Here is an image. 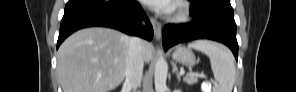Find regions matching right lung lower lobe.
<instances>
[{
	"instance_id": "obj_1",
	"label": "right lung lower lobe",
	"mask_w": 296,
	"mask_h": 92,
	"mask_svg": "<svg viewBox=\"0 0 296 92\" xmlns=\"http://www.w3.org/2000/svg\"><path fill=\"white\" fill-rule=\"evenodd\" d=\"M146 19L147 26L140 20ZM93 26L110 27L147 40L153 28L140 4L134 0H69L61 21L57 48L73 32Z\"/></svg>"
}]
</instances>
